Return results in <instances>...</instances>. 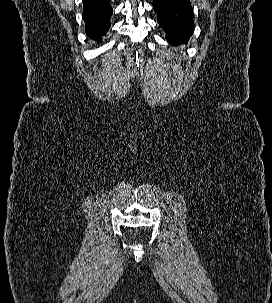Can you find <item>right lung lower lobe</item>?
<instances>
[{
	"label": "right lung lower lobe",
	"mask_w": 272,
	"mask_h": 303,
	"mask_svg": "<svg viewBox=\"0 0 272 303\" xmlns=\"http://www.w3.org/2000/svg\"><path fill=\"white\" fill-rule=\"evenodd\" d=\"M83 19L88 37L101 42L110 28L112 7L110 0H83Z\"/></svg>",
	"instance_id": "98d812e1"
}]
</instances>
